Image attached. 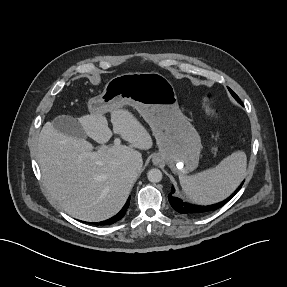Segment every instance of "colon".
Instances as JSON below:
<instances>
[{"mask_svg": "<svg viewBox=\"0 0 287 287\" xmlns=\"http://www.w3.org/2000/svg\"><path fill=\"white\" fill-rule=\"evenodd\" d=\"M202 108H203L205 115L209 119L215 120L218 118L219 116L218 110L215 107H213L212 102H211V97L209 95H206L203 98Z\"/></svg>", "mask_w": 287, "mask_h": 287, "instance_id": "5ec220e1", "label": "colon"}]
</instances>
